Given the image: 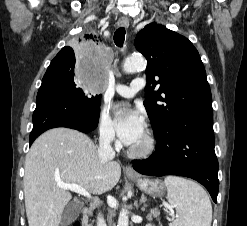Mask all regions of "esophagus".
Returning <instances> with one entry per match:
<instances>
[{
  "label": "esophagus",
  "instance_id": "1",
  "mask_svg": "<svg viewBox=\"0 0 247 226\" xmlns=\"http://www.w3.org/2000/svg\"><path fill=\"white\" fill-rule=\"evenodd\" d=\"M118 26L120 27H128L129 26V21L127 19H120L118 21ZM125 172L129 175H136V172L133 170L131 166H126L125 167Z\"/></svg>",
  "mask_w": 247,
  "mask_h": 226
}]
</instances>
